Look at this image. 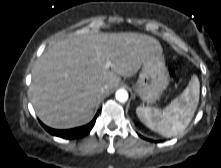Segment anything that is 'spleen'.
I'll list each match as a JSON object with an SVG mask.
<instances>
[{"instance_id": "3e777b00", "label": "spleen", "mask_w": 221, "mask_h": 168, "mask_svg": "<svg viewBox=\"0 0 221 168\" xmlns=\"http://www.w3.org/2000/svg\"><path fill=\"white\" fill-rule=\"evenodd\" d=\"M199 92L198 77L193 75L183 93L165 109L137 107V116L149 129L165 137L176 136L187 128L193 118L199 102Z\"/></svg>"}]
</instances>
